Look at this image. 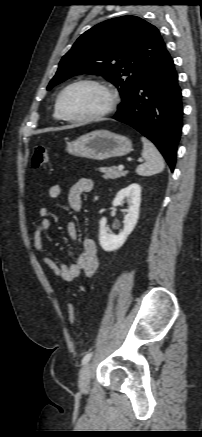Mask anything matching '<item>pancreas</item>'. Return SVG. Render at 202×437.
I'll list each match as a JSON object with an SVG mask.
<instances>
[{
    "label": "pancreas",
    "instance_id": "pancreas-1",
    "mask_svg": "<svg viewBox=\"0 0 202 437\" xmlns=\"http://www.w3.org/2000/svg\"><path fill=\"white\" fill-rule=\"evenodd\" d=\"M100 172L104 173V179H117L126 175L127 172L119 171L117 167H101Z\"/></svg>",
    "mask_w": 202,
    "mask_h": 437
}]
</instances>
